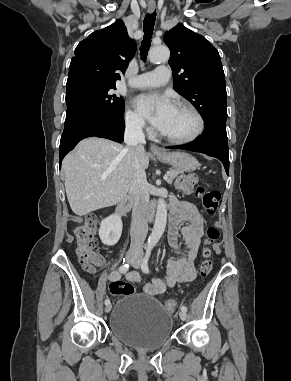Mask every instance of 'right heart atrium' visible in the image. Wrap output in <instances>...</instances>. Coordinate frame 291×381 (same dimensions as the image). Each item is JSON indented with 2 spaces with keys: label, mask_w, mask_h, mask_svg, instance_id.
<instances>
[{
  "label": "right heart atrium",
  "mask_w": 291,
  "mask_h": 381,
  "mask_svg": "<svg viewBox=\"0 0 291 381\" xmlns=\"http://www.w3.org/2000/svg\"><path fill=\"white\" fill-rule=\"evenodd\" d=\"M124 120L126 127L133 132L149 131L142 116L131 108L126 110Z\"/></svg>",
  "instance_id": "1"
}]
</instances>
